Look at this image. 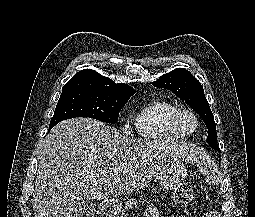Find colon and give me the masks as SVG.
<instances>
[{
  "instance_id": "obj_1",
  "label": "colon",
  "mask_w": 255,
  "mask_h": 217,
  "mask_svg": "<svg viewBox=\"0 0 255 217\" xmlns=\"http://www.w3.org/2000/svg\"><path fill=\"white\" fill-rule=\"evenodd\" d=\"M172 198L177 204L191 203L194 199L192 188L186 184L181 185L174 190Z\"/></svg>"
}]
</instances>
